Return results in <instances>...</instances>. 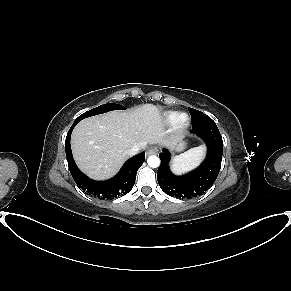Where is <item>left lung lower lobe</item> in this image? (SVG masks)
<instances>
[{
  "mask_svg": "<svg viewBox=\"0 0 291 291\" xmlns=\"http://www.w3.org/2000/svg\"><path fill=\"white\" fill-rule=\"evenodd\" d=\"M191 133L204 140L207 155L204 162L194 171L183 176H176L170 171L171 154L167 149L159 154L161 165L157 171V180L161 189L180 199H189L202 195L215 182L223 155V140L215 122L211 119L204 125H192Z\"/></svg>",
  "mask_w": 291,
  "mask_h": 291,
  "instance_id": "obj_1",
  "label": "left lung lower lobe"
}]
</instances>
